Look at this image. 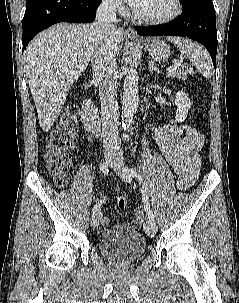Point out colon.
Instances as JSON below:
<instances>
[{"mask_svg":"<svg viewBox=\"0 0 239 303\" xmlns=\"http://www.w3.org/2000/svg\"><path fill=\"white\" fill-rule=\"evenodd\" d=\"M77 126V110L69 107L59 118L47 139V148L44 156L45 167L58 187L67 184V171L72 163L71 151L74 148V137ZM117 208L123 210L127 199L120 196L116 201ZM140 226L136 220L135 229Z\"/></svg>","mask_w":239,"mask_h":303,"instance_id":"1","label":"colon"}]
</instances>
